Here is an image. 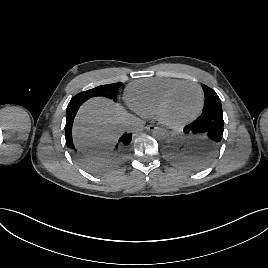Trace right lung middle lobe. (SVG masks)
I'll list each match as a JSON object with an SVG mask.
<instances>
[{
	"label": "right lung middle lobe",
	"instance_id": "1",
	"mask_svg": "<svg viewBox=\"0 0 268 268\" xmlns=\"http://www.w3.org/2000/svg\"><path fill=\"white\" fill-rule=\"evenodd\" d=\"M120 86H121V83L101 85V86H98L93 89L77 94L71 99L70 102L73 103V102H77L81 100L86 101L89 98L98 97V96L107 97L116 101L117 91L120 88Z\"/></svg>",
	"mask_w": 268,
	"mask_h": 268
}]
</instances>
